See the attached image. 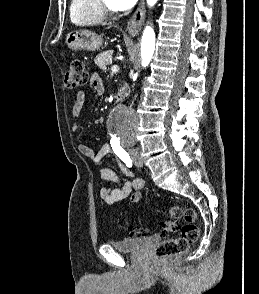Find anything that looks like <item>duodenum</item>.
I'll list each match as a JSON object with an SVG mask.
<instances>
[{
  "label": "duodenum",
  "instance_id": "duodenum-1",
  "mask_svg": "<svg viewBox=\"0 0 259 294\" xmlns=\"http://www.w3.org/2000/svg\"><path fill=\"white\" fill-rule=\"evenodd\" d=\"M129 88L127 85H123L117 92V101L122 102L123 99L128 95Z\"/></svg>",
  "mask_w": 259,
  "mask_h": 294
}]
</instances>
